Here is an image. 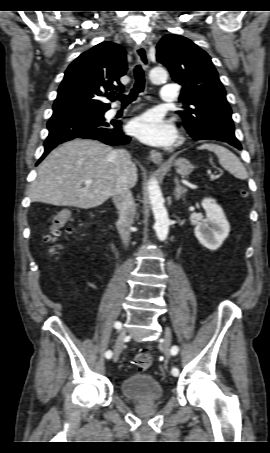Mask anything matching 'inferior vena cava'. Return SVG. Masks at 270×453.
<instances>
[{"mask_svg":"<svg viewBox=\"0 0 270 453\" xmlns=\"http://www.w3.org/2000/svg\"><path fill=\"white\" fill-rule=\"evenodd\" d=\"M112 158L118 171V183L113 195L118 210V230L122 242L127 246L130 241V227L135 215V204L128 185V170L132 166L131 156L125 150H114Z\"/></svg>","mask_w":270,"mask_h":453,"instance_id":"inferior-vena-cava-1","label":"inferior vena cava"}]
</instances>
